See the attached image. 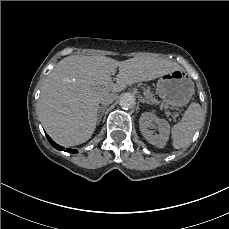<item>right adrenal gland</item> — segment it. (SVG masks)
Here are the masks:
<instances>
[{"label": "right adrenal gland", "mask_w": 229, "mask_h": 229, "mask_svg": "<svg viewBox=\"0 0 229 229\" xmlns=\"http://www.w3.org/2000/svg\"><path fill=\"white\" fill-rule=\"evenodd\" d=\"M106 108H107L106 106L99 107L98 112H97V124H99L101 122V118H102Z\"/></svg>", "instance_id": "2a0ac1e0"}]
</instances>
